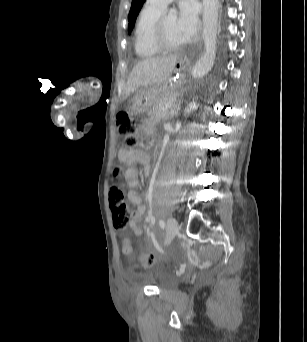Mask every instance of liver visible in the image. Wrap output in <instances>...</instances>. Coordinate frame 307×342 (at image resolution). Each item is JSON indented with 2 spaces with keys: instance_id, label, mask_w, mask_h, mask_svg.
<instances>
[{
  "instance_id": "1",
  "label": "liver",
  "mask_w": 307,
  "mask_h": 342,
  "mask_svg": "<svg viewBox=\"0 0 307 342\" xmlns=\"http://www.w3.org/2000/svg\"><path fill=\"white\" fill-rule=\"evenodd\" d=\"M176 62L177 56L146 58V60L137 62L127 78L123 92L124 98H128L137 88H150V86H160L167 82Z\"/></svg>"
}]
</instances>
